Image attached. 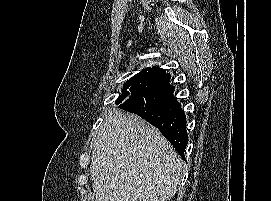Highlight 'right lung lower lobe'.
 <instances>
[{
    "label": "right lung lower lobe",
    "instance_id": "98d812e1",
    "mask_svg": "<svg viewBox=\"0 0 271 201\" xmlns=\"http://www.w3.org/2000/svg\"><path fill=\"white\" fill-rule=\"evenodd\" d=\"M150 73L152 78L144 92L130 96L119 108L135 113L157 127L185 159L188 143L186 116L173 95L174 87L169 84L170 75L159 67L152 68Z\"/></svg>",
    "mask_w": 271,
    "mask_h": 201
}]
</instances>
